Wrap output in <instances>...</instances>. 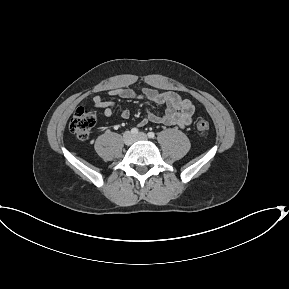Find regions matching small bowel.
<instances>
[{
    "label": "small bowel",
    "mask_w": 289,
    "mask_h": 289,
    "mask_svg": "<svg viewBox=\"0 0 289 289\" xmlns=\"http://www.w3.org/2000/svg\"><path fill=\"white\" fill-rule=\"evenodd\" d=\"M109 95L119 99L138 97L143 98L155 105L164 104L166 106L165 112L162 115H156L151 111H148L146 117L141 121V125L148 122H153L185 127L191 124L192 116L195 110V107L190 100L182 99L177 93L172 91L159 92L154 89H143L140 93H138L131 88H118L110 90ZM93 105L97 109H100L103 116L111 117L115 103L113 101L104 100L103 97L97 95L93 98ZM120 116L123 119H127L130 116V112L128 110H123L120 113Z\"/></svg>",
    "instance_id": "obj_1"
}]
</instances>
